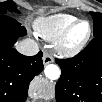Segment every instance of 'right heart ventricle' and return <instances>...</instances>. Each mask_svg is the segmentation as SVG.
Instances as JSON below:
<instances>
[{
  "mask_svg": "<svg viewBox=\"0 0 102 102\" xmlns=\"http://www.w3.org/2000/svg\"><path fill=\"white\" fill-rule=\"evenodd\" d=\"M76 21V17L69 14H55L40 18L35 23V32L45 40L57 39L66 29Z\"/></svg>",
  "mask_w": 102,
  "mask_h": 102,
  "instance_id": "right-heart-ventricle-1",
  "label": "right heart ventricle"
}]
</instances>
